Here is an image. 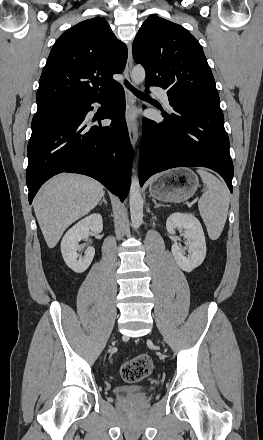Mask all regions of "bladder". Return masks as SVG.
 I'll return each instance as SVG.
<instances>
[{
  "mask_svg": "<svg viewBox=\"0 0 263 440\" xmlns=\"http://www.w3.org/2000/svg\"><path fill=\"white\" fill-rule=\"evenodd\" d=\"M144 388L141 386H119L112 389V393L116 396L138 395L144 393Z\"/></svg>",
  "mask_w": 263,
  "mask_h": 440,
  "instance_id": "obj_1",
  "label": "bladder"
}]
</instances>
